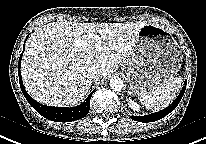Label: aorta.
<instances>
[{"instance_id":"762f6f07","label":"aorta","mask_w":206,"mask_h":144,"mask_svg":"<svg viewBox=\"0 0 206 144\" xmlns=\"http://www.w3.org/2000/svg\"><path fill=\"white\" fill-rule=\"evenodd\" d=\"M109 85L113 91H121L124 86L123 81L120 78L111 79Z\"/></svg>"}]
</instances>
